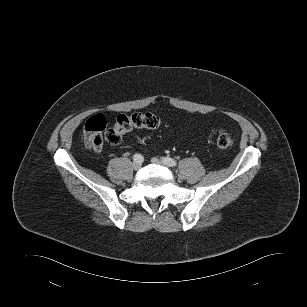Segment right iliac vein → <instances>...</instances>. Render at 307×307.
I'll list each match as a JSON object with an SVG mask.
<instances>
[{"instance_id":"right-iliac-vein-1","label":"right iliac vein","mask_w":307,"mask_h":307,"mask_svg":"<svg viewBox=\"0 0 307 307\" xmlns=\"http://www.w3.org/2000/svg\"><path fill=\"white\" fill-rule=\"evenodd\" d=\"M141 166H142L141 162H137V161L133 162V169L134 170H136V171L139 170L141 168Z\"/></svg>"}]
</instances>
